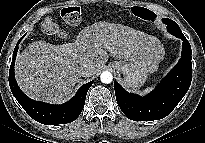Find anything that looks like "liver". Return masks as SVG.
Listing matches in <instances>:
<instances>
[{
  "label": "liver",
  "mask_w": 205,
  "mask_h": 143,
  "mask_svg": "<svg viewBox=\"0 0 205 143\" xmlns=\"http://www.w3.org/2000/svg\"><path fill=\"white\" fill-rule=\"evenodd\" d=\"M159 44L156 37L142 31L100 21L82 29L73 43L32 42L16 57L15 77L28 97L61 103L80 81V69L85 64L94 66V75L104 67L109 55L130 61L154 60L157 64L162 58L155 57Z\"/></svg>",
  "instance_id": "1"
}]
</instances>
